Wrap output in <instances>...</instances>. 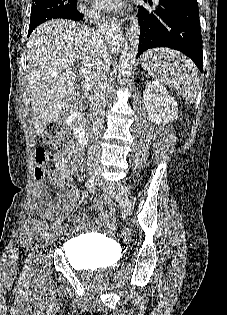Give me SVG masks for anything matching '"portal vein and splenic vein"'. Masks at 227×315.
Listing matches in <instances>:
<instances>
[{"label":"portal vein and splenic vein","instance_id":"obj_1","mask_svg":"<svg viewBox=\"0 0 227 315\" xmlns=\"http://www.w3.org/2000/svg\"><path fill=\"white\" fill-rule=\"evenodd\" d=\"M78 72H79V75L85 79V82L87 84H90L91 82L90 72L87 71L84 67H79Z\"/></svg>","mask_w":227,"mask_h":315}]
</instances>
